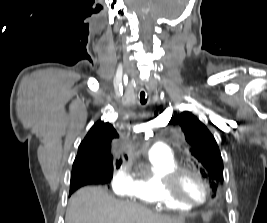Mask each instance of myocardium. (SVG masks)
<instances>
[{"instance_id": "obj_1", "label": "myocardium", "mask_w": 267, "mask_h": 223, "mask_svg": "<svg viewBox=\"0 0 267 223\" xmlns=\"http://www.w3.org/2000/svg\"><path fill=\"white\" fill-rule=\"evenodd\" d=\"M186 173L196 176L203 184L205 195L201 201H192L185 198L179 191V182ZM163 189L166 197L174 202L190 208H196L205 204L210 197V185L204 175L195 168L189 166H177L163 177Z\"/></svg>"}]
</instances>
